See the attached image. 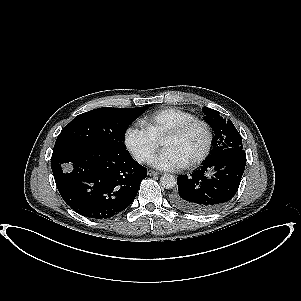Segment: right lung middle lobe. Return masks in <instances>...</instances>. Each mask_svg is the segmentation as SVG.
<instances>
[{"mask_svg": "<svg viewBox=\"0 0 301 301\" xmlns=\"http://www.w3.org/2000/svg\"><path fill=\"white\" fill-rule=\"evenodd\" d=\"M147 107H104L80 114L61 131L54 149L74 144L92 143L119 151H127L124 145L126 129Z\"/></svg>", "mask_w": 301, "mask_h": 301, "instance_id": "1", "label": "right lung middle lobe"}]
</instances>
